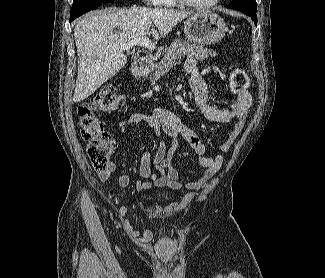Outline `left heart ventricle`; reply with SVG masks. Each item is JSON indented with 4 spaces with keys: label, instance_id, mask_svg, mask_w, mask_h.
Returning a JSON list of instances; mask_svg holds the SVG:
<instances>
[{
    "label": "left heart ventricle",
    "instance_id": "obj_1",
    "mask_svg": "<svg viewBox=\"0 0 325 278\" xmlns=\"http://www.w3.org/2000/svg\"><path fill=\"white\" fill-rule=\"evenodd\" d=\"M192 1H194L196 3H207V2H209L211 0H192Z\"/></svg>",
    "mask_w": 325,
    "mask_h": 278
}]
</instances>
